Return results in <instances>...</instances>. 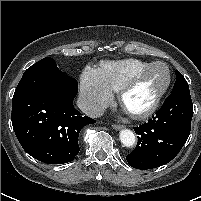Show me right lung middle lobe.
I'll list each match as a JSON object with an SVG mask.
<instances>
[{"mask_svg":"<svg viewBox=\"0 0 201 201\" xmlns=\"http://www.w3.org/2000/svg\"><path fill=\"white\" fill-rule=\"evenodd\" d=\"M33 68H45V69H53V70L58 69L57 66H56L55 61L52 58H49V57L43 58L42 60H40L37 63L33 64L28 69H33Z\"/></svg>","mask_w":201,"mask_h":201,"instance_id":"obj_1","label":"right lung middle lobe"}]
</instances>
